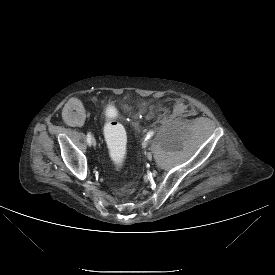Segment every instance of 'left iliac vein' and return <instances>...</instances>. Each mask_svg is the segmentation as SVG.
Returning <instances> with one entry per match:
<instances>
[{
	"label": "left iliac vein",
	"instance_id": "obj_1",
	"mask_svg": "<svg viewBox=\"0 0 275 275\" xmlns=\"http://www.w3.org/2000/svg\"><path fill=\"white\" fill-rule=\"evenodd\" d=\"M152 154L151 153H148V158H151Z\"/></svg>",
	"mask_w": 275,
	"mask_h": 275
}]
</instances>
